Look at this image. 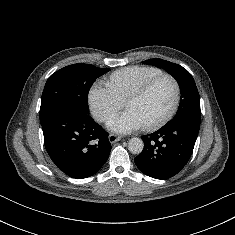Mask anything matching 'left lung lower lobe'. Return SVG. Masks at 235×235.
I'll return each instance as SVG.
<instances>
[{"instance_id": "0a47b994", "label": "left lung lower lobe", "mask_w": 235, "mask_h": 235, "mask_svg": "<svg viewBox=\"0 0 235 235\" xmlns=\"http://www.w3.org/2000/svg\"><path fill=\"white\" fill-rule=\"evenodd\" d=\"M200 121L194 117L183 118L142 136L144 149L135 158L136 166L145 175L156 179L176 175L192 155Z\"/></svg>"}]
</instances>
